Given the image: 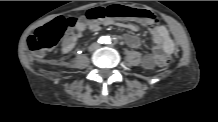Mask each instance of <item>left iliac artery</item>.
Listing matches in <instances>:
<instances>
[{
    "label": "left iliac artery",
    "instance_id": "1",
    "mask_svg": "<svg viewBox=\"0 0 218 122\" xmlns=\"http://www.w3.org/2000/svg\"><path fill=\"white\" fill-rule=\"evenodd\" d=\"M107 41H108V42H106V43H108V44H109V43H110V42H109L110 40H107Z\"/></svg>",
    "mask_w": 218,
    "mask_h": 122
}]
</instances>
